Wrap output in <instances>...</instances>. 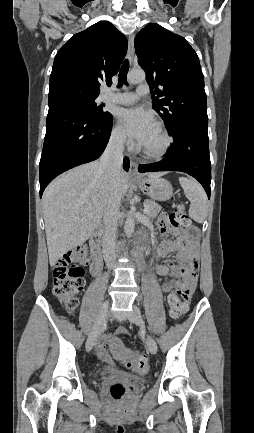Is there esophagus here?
Returning a JSON list of instances; mask_svg holds the SVG:
<instances>
[{
	"mask_svg": "<svg viewBox=\"0 0 254 433\" xmlns=\"http://www.w3.org/2000/svg\"><path fill=\"white\" fill-rule=\"evenodd\" d=\"M134 57V34H130L128 36V59L130 62L133 61ZM129 176L131 178H140V174L137 170V163L135 161H131L130 163V169H129Z\"/></svg>",
	"mask_w": 254,
	"mask_h": 433,
	"instance_id": "1",
	"label": "esophagus"
}]
</instances>
